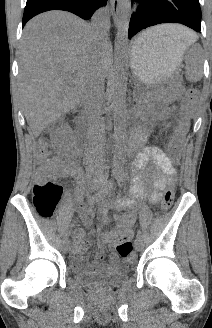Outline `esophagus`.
<instances>
[{"instance_id":"34e87169","label":"esophagus","mask_w":212,"mask_h":328,"mask_svg":"<svg viewBox=\"0 0 212 328\" xmlns=\"http://www.w3.org/2000/svg\"><path fill=\"white\" fill-rule=\"evenodd\" d=\"M111 13L116 26L119 25L120 0H110Z\"/></svg>"}]
</instances>
